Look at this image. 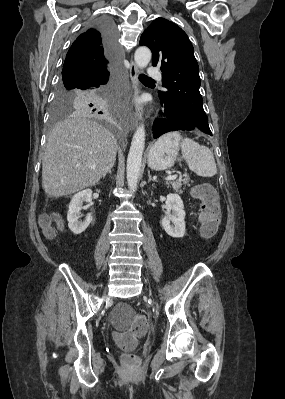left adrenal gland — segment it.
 <instances>
[{
  "label": "left adrenal gland",
  "mask_w": 285,
  "mask_h": 399,
  "mask_svg": "<svg viewBox=\"0 0 285 399\" xmlns=\"http://www.w3.org/2000/svg\"><path fill=\"white\" fill-rule=\"evenodd\" d=\"M148 177H149L148 183H149L150 181H154V182L157 181L155 178H152V176H151V174H150V171H148Z\"/></svg>",
  "instance_id": "obj_1"
}]
</instances>
